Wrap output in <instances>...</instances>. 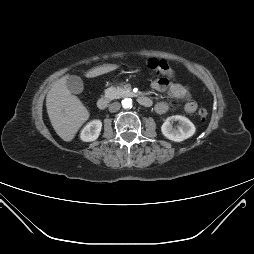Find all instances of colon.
<instances>
[{
	"mask_svg": "<svg viewBox=\"0 0 254 254\" xmlns=\"http://www.w3.org/2000/svg\"><path fill=\"white\" fill-rule=\"evenodd\" d=\"M146 64L151 70H154L165 76L172 77L174 75L173 69L165 60L150 58L147 60ZM198 115L201 119H205L208 116V111L205 108H200L198 110Z\"/></svg>",
	"mask_w": 254,
	"mask_h": 254,
	"instance_id": "colon-1",
	"label": "colon"
}]
</instances>
